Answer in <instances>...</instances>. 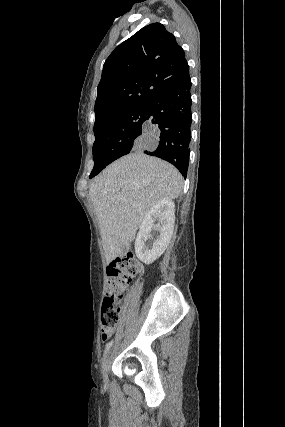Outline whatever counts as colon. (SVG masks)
<instances>
[{"instance_id":"obj_1","label":"colon","mask_w":285,"mask_h":427,"mask_svg":"<svg viewBox=\"0 0 285 427\" xmlns=\"http://www.w3.org/2000/svg\"><path fill=\"white\" fill-rule=\"evenodd\" d=\"M141 272V266L132 257L118 258L107 269V289L102 305V338L112 335L120 321L123 294L134 277Z\"/></svg>"}]
</instances>
